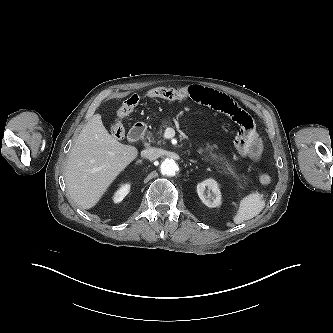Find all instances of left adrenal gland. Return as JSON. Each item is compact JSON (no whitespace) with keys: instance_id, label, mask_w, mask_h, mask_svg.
Returning <instances> with one entry per match:
<instances>
[{"instance_id":"left-adrenal-gland-1","label":"left adrenal gland","mask_w":333,"mask_h":333,"mask_svg":"<svg viewBox=\"0 0 333 333\" xmlns=\"http://www.w3.org/2000/svg\"><path fill=\"white\" fill-rule=\"evenodd\" d=\"M190 162H191V163H197V161H195V160H190Z\"/></svg>"}]
</instances>
